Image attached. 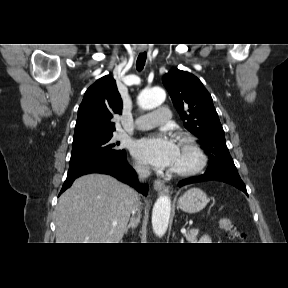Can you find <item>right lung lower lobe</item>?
Masks as SVG:
<instances>
[{"label": "right lung lower lobe", "instance_id": "obj_1", "mask_svg": "<svg viewBox=\"0 0 288 288\" xmlns=\"http://www.w3.org/2000/svg\"><path fill=\"white\" fill-rule=\"evenodd\" d=\"M94 172L112 175L118 180L138 188V191L143 195H147L148 193V185H142L137 181L136 173L127 163L125 153L122 157L118 158L99 155L77 162H70L67 178L60 194L68 189L77 177Z\"/></svg>", "mask_w": 288, "mask_h": 288}]
</instances>
